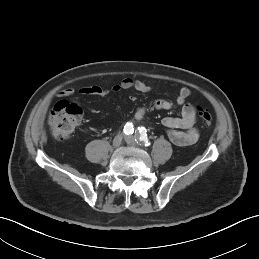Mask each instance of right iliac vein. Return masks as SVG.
<instances>
[{
	"instance_id": "right-iliac-vein-1",
	"label": "right iliac vein",
	"mask_w": 259,
	"mask_h": 259,
	"mask_svg": "<svg viewBox=\"0 0 259 259\" xmlns=\"http://www.w3.org/2000/svg\"><path fill=\"white\" fill-rule=\"evenodd\" d=\"M123 140V136L121 134H118L114 137L113 141H112V146L117 148L121 145Z\"/></svg>"
}]
</instances>
